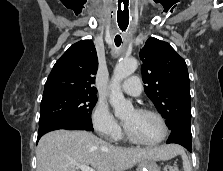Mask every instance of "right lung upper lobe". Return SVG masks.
<instances>
[{"mask_svg": "<svg viewBox=\"0 0 223 171\" xmlns=\"http://www.w3.org/2000/svg\"><path fill=\"white\" fill-rule=\"evenodd\" d=\"M98 69L91 40L73 44L55 63L44 87L43 98L62 93L96 94L93 86Z\"/></svg>", "mask_w": 223, "mask_h": 171, "instance_id": "obj_1", "label": "right lung upper lobe"}]
</instances>
